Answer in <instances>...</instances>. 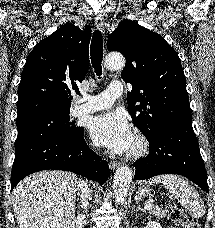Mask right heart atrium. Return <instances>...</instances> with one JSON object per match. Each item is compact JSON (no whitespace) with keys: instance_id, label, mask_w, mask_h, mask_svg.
<instances>
[{"instance_id":"1","label":"right heart atrium","mask_w":215,"mask_h":228,"mask_svg":"<svg viewBox=\"0 0 215 228\" xmlns=\"http://www.w3.org/2000/svg\"><path fill=\"white\" fill-rule=\"evenodd\" d=\"M92 150H93V152H98V148L97 147H93Z\"/></svg>"}]
</instances>
